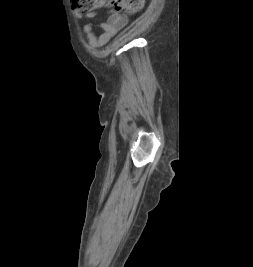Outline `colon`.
<instances>
[{
	"mask_svg": "<svg viewBox=\"0 0 253 267\" xmlns=\"http://www.w3.org/2000/svg\"><path fill=\"white\" fill-rule=\"evenodd\" d=\"M144 0H71L74 9L89 12L101 7H112L118 12L134 13L139 11Z\"/></svg>",
	"mask_w": 253,
	"mask_h": 267,
	"instance_id": "colon-1",
	"label": "colon"
}]
</instances>
